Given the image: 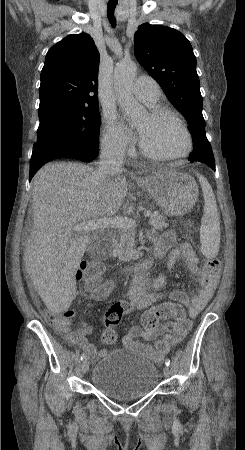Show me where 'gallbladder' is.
I'll list each match as a JSON object with an SVG mask.
<instances>
[{"mask_svg": "<svg viewBox=\"0 0 245 450\" xmlns=\"http://www.w3.org/2000/svg\"><path fill=\"white\" fill-rule=\"evenodd\" d=\"M87 252L91 258L96 260H102L106 257V252L103 245L95 241L88 245Z\"/></svg>", "mask_w": 245, "mask_h": 450, "instance_id": "1", "label": "gallbladder"}]
</instances>
